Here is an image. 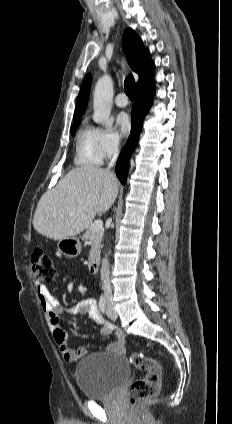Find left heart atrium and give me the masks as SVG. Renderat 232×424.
<instances>
[{"instance_id": "left-heart-atrium-1", "label": "left heart atrium", "mask_w": 232, "mask_h": 424, "mask_svg": "<svg viewBox=\"0 0 232 424\" xmlns=\"http://www.w3.org/2000/svg\"><path fill=\"white\" fill-rule=\"evenodd\" d=\"M121 134L127 135L130 131V119L126 113H120L116 118Z\"/></svg>"}]
</instances>
